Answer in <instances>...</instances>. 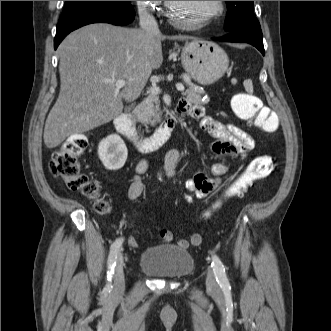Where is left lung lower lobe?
Here are the masks:
<instances>
[{
	"mask_svg": "<svg viewBox=\"0 0 331 331\" xmlns=\"http://www.w3.org/2000/svg\"><path fill=\"white\" fill-rule=\"evenodd\" d=\"M224 42H244L255 46L263 55L265 54L263 46V36L260 27L241 29L228 32L224 37L219 38Z\"/></svg>",
	"mask_w": 331,
	"mask_h": 331,
	"instance_id": "obj_1",
	"label": "left lung lower lobe"
}]
</instances>
